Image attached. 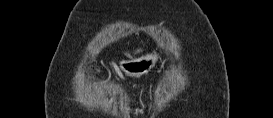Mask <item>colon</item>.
Here are the masks:
<instances>
[{"mask_svg": "<svg viewBox=\"0 0 273 118\" xmlns=\"http://www.w3.org/2000/svg\"><path fill=\"white\" fill-rule=\"evenodd\" d=\"M88 73L92 76H96L97 75V71H96V68L95 66L91 63L89 64L88 66Z\"/></svg>", "mask_w": 273, "mask_h": 118, "instance_id": "1", "label": "colon"}]
</instances>
